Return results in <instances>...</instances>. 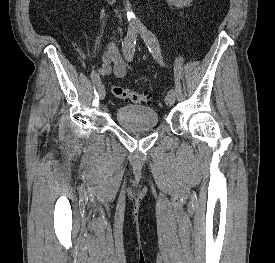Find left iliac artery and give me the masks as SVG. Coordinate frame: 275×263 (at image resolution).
Instances as JSON below:
<instances>
[{"label": "left iliac artery", "instance_id": "obj_1", "mask_svg": "<svg viewBox=\"0 0 275 263\" xmlns=\"http://www.w3.org/2000/svg\"><path fill=\"white\" fill-rule=\"evenodd\" d=\"M138 32L141 34L142 38L144 39V42L148 47L150 53L154 57V59L158 61L161 65H163V58L161 56V50H160L159 42L156 36L149 30H147L146 27L144 26H140L138 28ZM168 93L175 95V91L173 89H170Z\"/></svg>", "mask_w": 275, "mask_h": 263}]
</instances>
